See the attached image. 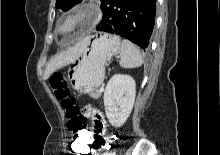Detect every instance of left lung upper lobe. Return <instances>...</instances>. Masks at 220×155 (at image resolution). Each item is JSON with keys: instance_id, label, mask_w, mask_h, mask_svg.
<instances>
[{"instance_id": "5c2ea615", "label": "left lung upper lobe", "mask_w": 220, "mask_h": 155, "mask_svg": "<svg viewBox=\"0 0 220 155\" xmlns=\"http://www.w3.org/2000/svg\"><path fill=\"white\" fill-rule=\"evenodd\" d=\"M81 1L82 0H56V7L62 9L63 11H67Z\"/></svg>"}]
</instances>
